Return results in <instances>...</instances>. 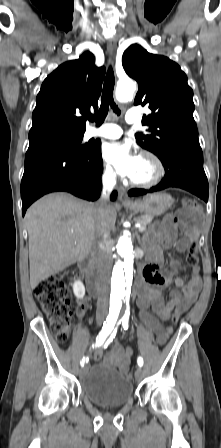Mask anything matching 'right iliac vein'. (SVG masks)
<instances>
[{"label":"right iliac vein","mask_w":221,"mask_h":448,"mask_svg":"<svg viewBox=\"0 0 221 448\" xmlns=\"http://www.w3.org/2000/svg\"><path fill=\"white\" fill-rule=\"evenodd\" d=\"M99 323L101 324V323H102V320H100ZM87 370H88V367H87V366H82V367L80 368V370H79V376H80V378H82V377L86 374Z\"/></svg>","instance_id":"63e3f726"}]
</instances>
